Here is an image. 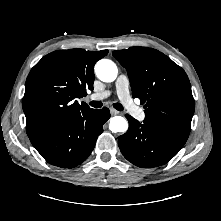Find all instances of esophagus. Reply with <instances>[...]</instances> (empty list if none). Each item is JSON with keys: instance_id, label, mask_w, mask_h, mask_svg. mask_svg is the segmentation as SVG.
<instances>
[{"instance_id": "obj_1", "label": "esophagus", "mask_w": 221, "mask_h": 221, "mask_svg": "<svg viewBox=\"0 0 221 221\" xmlns=\"http://www.w3.org/2000/svg\"><path fill=\"white\" fill-rule=\"evenodd\" d=\"M110 112H111L112 115H118V114H120L119 111H117V110H115V109H113V108L110 109Z\"/></svg>"}]
</instances>
